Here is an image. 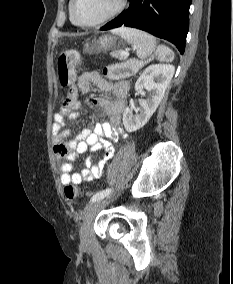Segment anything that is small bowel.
<instances>
[{"label": "small bowel", "mask_w": 233, "mask_h": 284, "mask_svg": "<svg viewBox=\"0 0 233 284\" xmlns=\"http://www.w3.org/2000/svg\"><path fill=\"white\" fill-rule=\"evenodd\" d=\"M91 85H96L100 90L109 92L113 98L94 97L93 103L100 107L107 116L105 122L97 124L94 128L83 129L74 139L67 140L69 130L65 129V119H77L80 115L81 104L78 100L79 91L88 92ZM126 82L111 84L104 80L98 72L83 73L76 84L65 97L59 111L54 116L52 136L54 152L60 165V180L64 186L78 185L83 181H93L98 178L106 165L115 154L114 147L109 139L118 137L127 138L128 135L122 128L120 121L125 108V96L128 91ZM104 149L106 155L98 163L89 160V166L81 172L72 171V162L88 150L98 151Z\"/></svg>", "instance_id": "1"}]
</instances>
